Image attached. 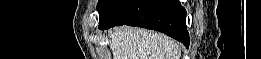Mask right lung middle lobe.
<instances>
[{
    "label": "right lung middle lobe",
    "mask_w": 261,
    "mask_h": 59,
    "mask_svg": "<svg viewBox=\"0 0 261 59\" xmlns=\"http://www.w3.org/2000/svg\"><path fill=\"white\" fill-rule=\"evenodd\" d=\"M119 0H99L98 2V12L99 15L102 16L106 14L108 11H110L117 3Z\"/></svg>",
    "instance_id": "dd1d6c3e"
}]
</instances>
